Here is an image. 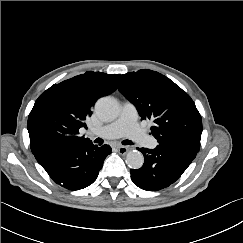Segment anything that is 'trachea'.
Here are the masks:
<instances>
[{
  "label": "trachea",
  "instance_id": "obj_1",
  "mask_svg": "<svg viewBox=\"0 0 243 243\" xmlns=\"http://www.w3.org/2000/svg\"><path fill=\"white\" fill-rule=\"evenodd\" d=\"M95 143H98L99 145H101L103 143V140L101 138H97L95 140ZM122 144L123 145H133V142L131 140H123Z\"/></svg>",
  "mask_w": 243,
  "mask_h": 243
}]
</instances>
